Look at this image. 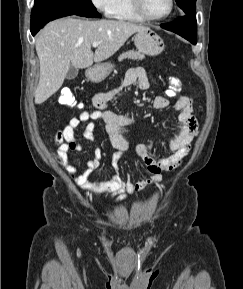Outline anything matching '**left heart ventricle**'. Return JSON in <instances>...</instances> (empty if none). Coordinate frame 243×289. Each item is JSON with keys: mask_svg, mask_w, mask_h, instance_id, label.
Instances as JSON below:
<instances>
[{"mask_svg": "<svg viewBox=\"0 0 243 289\" xmlns=\"http://www.w3.org/2000/svg\"><path fill=\"white\" fill-rule=\"evenodd\" d=\"M170 0H144L146 12L151 16H161L167 13Z\"/></svg>", "mask_w": 243, "mask_h": 289, "instance_id": "left-heart-ventricle-1", "label": "left heart ventricle"}]
</instances>
